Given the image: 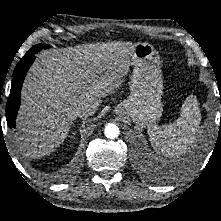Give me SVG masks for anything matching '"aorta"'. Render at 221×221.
Returning a JSON list of instances; mask_svg holds the SVG:
<instances>
[{
  "instance_id": "762f6f07",
  "label": "aorta",
  "mask_w": 221,
  "mask_h": 221,
  "mask_svg": "<svg viewBox=\"0 0 221 221\" xmlns=\"http://www.w3.org/2000/svg\"><path fill=\"white\" fill-rule=\"evenodd\" d=\"M119 128L116 124L108 123L105 126L104 134L109 139H115L119 136Z\"/></svg>"
}]
</instances>
